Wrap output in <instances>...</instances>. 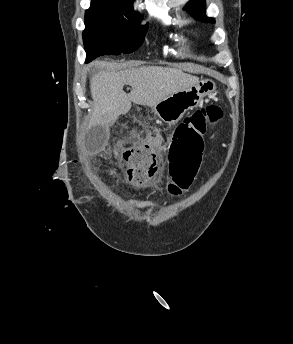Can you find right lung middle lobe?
Instances as JSON below:
<instances>
[{
    "label": "right lung middle lobe",
    "mask_w": 293,
    "mask_h": 344,
    "mask_svg": "<svg viewBox=\"0 0 293 344\" xmlns=\"http://www.w3.org/2000/svg\"><path fill=\"white\" fill-rule=\"evenodd\" d=\"M140 16L132 9L91 4L85 13L83 42L86 63L101 55L134 52L141 46L148 26H139Z\"/></svg>",
    "instance_id": "dd1d6c3e"
}]
</instances>
